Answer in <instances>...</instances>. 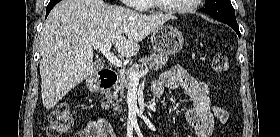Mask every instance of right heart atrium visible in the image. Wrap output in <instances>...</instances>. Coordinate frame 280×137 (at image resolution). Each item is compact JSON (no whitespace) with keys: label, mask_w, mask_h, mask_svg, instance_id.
I'll list each match as a JSON object with an SVG mask.
<instances>
[{"label":"right heart atrium","mask_w":280,"mask_h":137,"mask_svg":"<svg viewBox=\"0 0 280 137\" xmlns=\"http://www.w3.org/2000/svg\"><path fill=\"white\" fill-rule=\"evenodd\" d=\"M143 0H130V5L135 6V8H139V4H141Z\"/></svg>","instance_id":"obj_1"}]
</instances>
